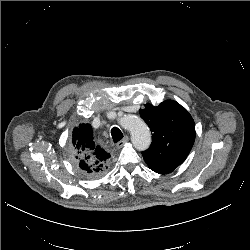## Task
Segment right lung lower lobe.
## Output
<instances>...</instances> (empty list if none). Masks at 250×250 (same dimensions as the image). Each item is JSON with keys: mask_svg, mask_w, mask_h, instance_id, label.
I'll use <instances>...</instances> for the list:
<instances>
[{"mask_svg": "<svg viewBox=\"0 0 250 250\" xmlns=\"http://www.w3.org/2000/svg\"><path fill=\"white\" fill-rule=\"evenodd\" d=\"M75 166L83 176L90 179H95L103 176L108 169V167H105L103 169H83L79 167V165H77L76 163Z\"/></svg>", "mask_w": 250, "mask_h": 250, "instance_id": "1", "label": "right lung lower lobe"}]
</instances>
